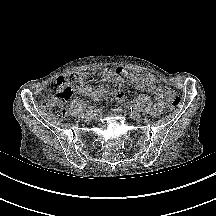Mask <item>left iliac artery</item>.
<instances>
[{
    "instance_id": "obj_1",
    "label": "left iliac artery",
    "mask_w": 216,
    "mask_h": 216,
    "mask_svg": "<svg viewBox=\"0 0 216 216\" xmlns=\"http://www.w3.org/2000/svg\"><path fill=\"white\" fill-rule=\"evenodd\" d=\"M130 110H131V111H137V108H136V106L132 105V106L130 107Z\"/></svg>"
}]
</instances>
